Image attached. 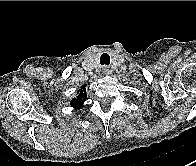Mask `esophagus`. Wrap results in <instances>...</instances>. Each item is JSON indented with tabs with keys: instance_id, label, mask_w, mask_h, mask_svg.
I'll use <instances>...</instances> for the list:
<instances>
[{
	"instance_id": "esophagus-1",
	"label": "esophagus",
	"mask_w": 196,
	"mask_h": 166,
	"mask_svg": "<svg viewBox=\"0 0 196 166\" xmlns=\"http://www.w3.org/2000/svg\"><path fill=\"white\" fill-rule=\"evenodd\" d=\"M103 73L105 74H110L111 73V68L109 66H104L102 68Z\"/></svg>"
}]
</instances>
